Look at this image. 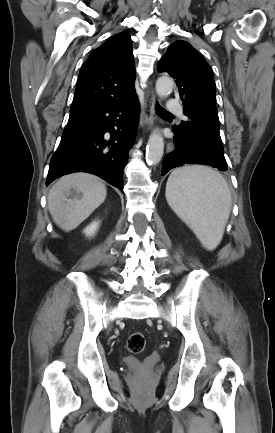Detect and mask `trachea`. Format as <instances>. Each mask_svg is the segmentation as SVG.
I'll use <instances>...</instances> for the list:
<instances>
[{
    "mask_svg": "<svg viewBox=\"0 0 275 433\" xmlns=\"http://www.w3.org/2000/svg\"><path fill=\"white\" fill-rule=\"evenodd\" d=\"M157 110H158V113H160L162 115H169V116H171V114L169 112H167L164 108H162L159 105H157Z\"/></svg>",
    "mask_w": 275,
    "mask_h": 433,
    "instance_id": "3493384b",
    "label": "trachea"
}]
</instances>
